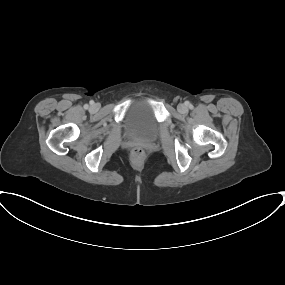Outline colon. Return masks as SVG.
Returning a JSON list of instances; mask_svg holds the SVG:
<instances>
[{"instance_id":"5ec220e1","label":"colon","mask_w":285,"mask_h":285,"mask_svg":"<svg viewBox=\"0 0 285 285\" xmlns=\"http://www.w3.org/2000/svg\"><path fill=\"white\" fill-rule=\"evenodd\" d=\"M143 154H144V151L142 148L137 147L133 150V155L135 157H141Z\"/></svg>"}]
</instances>
